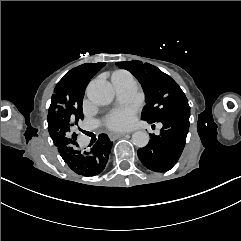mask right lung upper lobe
I'll list each match as a JSON object with an SVG mask.
<instances>
[{
	"label": "right lung upper lobe",
	"mask_w": 241,
	"mask_h": 241,
	"mask_svg": "<svg viewBox=\"0 0 241 241\" xmlns=\"http://www.w3.org/2000/svg\"><path fill=\"white\" fill-rule=\"evenodd\" d=\"M49 134L53 140L55 146H60L63 144L62 137L58 134V132L52 127V125L48 124Z\"/></svg>",
	"instance_id": "cb5924a9"
}]
</instances>
